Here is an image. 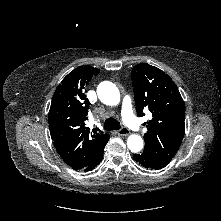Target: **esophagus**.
<instances>
[{
  "instance_id": "34e87169",
  "label": "esophagus",
  "mask_w": 221,
  "mask_h": 221,
  "mask_svg": "<svg viewBox=\"0 0 221 221\" xmlns=\"http://www.w3.org/2000/svg\"><path fill=\"white\" fill-rule=\"evenodd\" d=\"M117 134L120 136H128L130 131L126 127H122L120 130L117 131Z\"/></svg>"
}]
</instances>
